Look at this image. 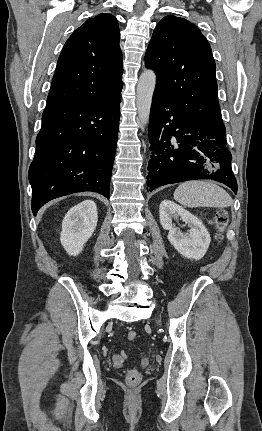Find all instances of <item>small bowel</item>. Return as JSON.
Instances as JSON below:
<instances>
[{"mask_svg":"<svg viewBox=\"0 0 262 431\" xmlns=\"http://www.w3.org/2000/svg\"><path fill=\"white\" fill-rule=\"evenodd\" d=\"M113 360H114L115 362H117V361L119 360V357H118V356H113Z\"/></svg>","mask_w":262,"mask_h":431,"instance_id":"1","label":"small bowel"}]
</instances>
